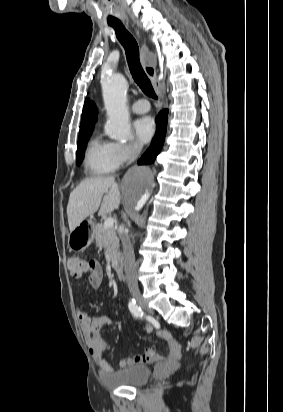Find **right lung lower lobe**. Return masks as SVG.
<instances>
[{
    "label": "right lung lower lobe",
    "mask_w": 283,
    "mask_h": 412,
    "mask_svg": "<svg viewBox=\"0 0 283 412\" xmlns=\"http://www.w3.org/2000/svg\"><path fill=\"white\" fill-rule=\"evenodd\" d=\"M167 121H168V110H162L156 118V134L152 140L151 146L139 159L138 164L146 165L153 163L156 159V156L159 154L160 150L163 147L164 139L167 130Z\"/></svg>",
    "instance_id": "obj_1"
}]
</instances>
